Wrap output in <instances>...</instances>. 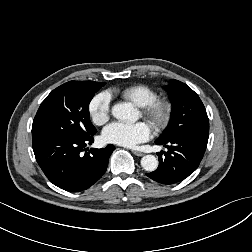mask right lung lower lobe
<instances>
[{
	"instance_id": "obj_1",
	"label": "right lung lower lobe",
	"mask_w": 252,
	"mask_h": 252,
	"mask_svg": "<svg viewBox=\"0 0 252 252\" xmlns=\"http://www.w3.org/2000/svg\"><path fill=\"white\" fill-rule=\"evenodd\" d=\"M93 135L75 139L32 138L35 158L54 185L66 191L79 192L102 177L115 147L109 144L104 149H90L83 154L85 147L93 143Z\"/></svg>"
}]
</instances>
